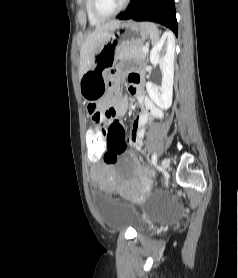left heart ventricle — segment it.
I'll list each match as a JSON object with an SVG mask.
<instances>
[{
  "label": "left heart ventricle",
  "instance_id": "left-heart-ventricle-1",
  "mask_svg": "<svg viewBox=\"0 0 238 278\" xmlns=\"http://www.w3.org/2000/svg\"><path fill=\"white\" fill-rule=\"evenodd\" d=\"M123 0H98V6L103 12H111L117 9Z\"/></svg>",
  "mask_w": 238,
  "mask_h": 278
}]
</instances>
